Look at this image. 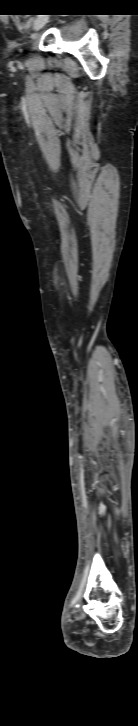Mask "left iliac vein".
I'll return each mask as SVG.
<instances>
[{"label":"left iliac vein","mask_w":138,"mask_h":726,"mask_svg":"<svg viewBox=\"0 0 138 726\" xmlns=\"http://www.w3.org/2000/svg\"><path fill=\"white\" fill-rule=\"evenodd\" d=\"M47 21H48V17L38 16L33 23L34 31H39L40 29H42L45 26V24L47 23Z\"/></svg>","instance_id":"1"}]
</instances>
